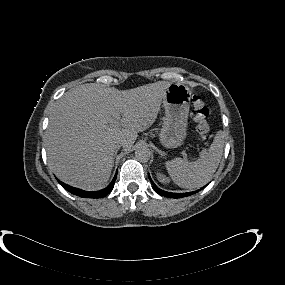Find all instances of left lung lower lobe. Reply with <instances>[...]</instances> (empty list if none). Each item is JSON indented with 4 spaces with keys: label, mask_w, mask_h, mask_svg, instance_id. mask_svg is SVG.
<instances>
[{
    "label": "left lung lower lobe",
    "mask_w": 285,
    "mask_h": 285,
    "mask_svg": "<svg viewBox=\"0 0 285 285\" xmlns=\"http://www.w3.org/2000/svg\"><path fill=\"white\" fill-rule=\"evenodd\" d=\"M148 177H149L150 181H151L152 184H153L154 190H155L158 194H160V195H162V196H165V197H169V198H182V197H186V196H189V195H191V194L197 192V191L188 192V193H170V192H166V191H163V190L159 189V188L153 183V181H152V179H151V177H150L149 174H148ZM198 191H199V190H198Z\"/></svg>",
    "instance_id": "1"
}]
</instances>
